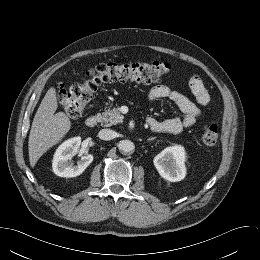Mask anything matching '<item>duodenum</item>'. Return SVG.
<instances>
[{"instance_id": "1", "label": "duodenum", "mask_w": 260, "mask_h": 260, "mask_svg": "<svg viewBox=\"0 0 260 260\" xmlns=\"http://www.w3.org/2000/svg\"><path fill=\"white\" fill-rule=\"evenodd\" d=\"M100 118L97 115H92L89 116L86 120H85V126L88 128H93L97 125V123L99 122Z\"/></svg>"}]
</instances>
